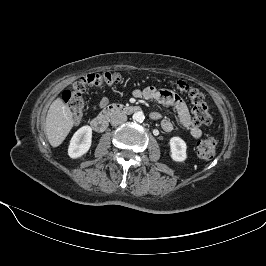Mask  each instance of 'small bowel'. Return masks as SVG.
<instances>
[{"mask_svg": "<svg viewBox=\"0 0 266 266\" xmlns=\"http://www.w3.org/2000/svg\"><path fill=\"white\" fill-rule=\"evenodd\" d=\"M132 95L135 98L154 100L160 104L172 107L177 115L179 123L190 131L193 138L199 139L202 136V129L193 125L190 113L184 101L174 92L167 89H159L148 86L143 89H134ZM108 103L106 98L102 99L99 106L103 107ZM153 117L159 119L161 115L158 112L153 113ZM161 127L165 132H171L174 129L173 123L168 119H162Z\"/></svg>", "mask_w": 266, "mask_h": 266, "instance_id": "small-bowel-1", "label": "small bowel"}]
</instances>
